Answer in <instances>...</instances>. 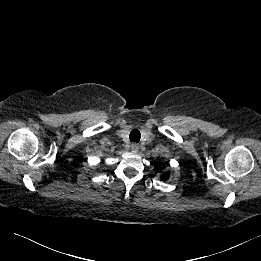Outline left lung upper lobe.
<instances>
[{
    "mask_svg": "<svg viewBox=\"0 0 261 261\" xmlns=\"http://www.w3.org/2000/svg\"><path fill=\"white\" fill-rule=\"evenodd\" d=\"M155 170H156V172L161 173L162 170H163V167L161 166V164L160 165H155ZM168 178H169V173L168 172L162 174V176H161L162 180H167Z\"/></svg>",
    "mask_w": 261,
    "mask_h": 261,
    "instance_id": "1",
    "label": "left lung upper lobe"
}]
</instances>
